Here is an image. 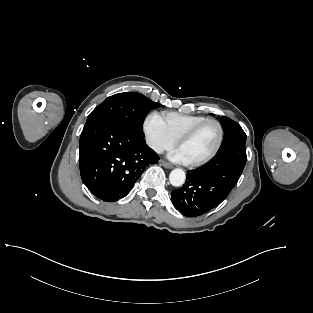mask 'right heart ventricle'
<instances>
[{
  "mask_svg": "<svg viewBox=\"0 0 313 313\" xmlns=\"http://www.w3.org/2000/svg\"><path fill=\"white\" fill-rule=\"evenodd\" d=\"M169 135L176 141L188 129L207 119L201 115H189L179 112H164L160 115Z\"/></svg>",
  "mask_w": 313,
  "mask_h": 313,
  "instance_id": "e07e8e85",
  "label": "right heart ventricle"
}]
</instances>
